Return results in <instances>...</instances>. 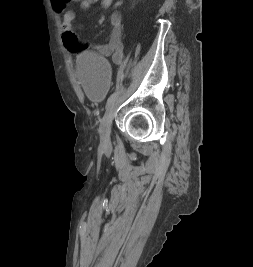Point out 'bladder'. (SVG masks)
<instances>
[{"label":"bladder","instance_id":"obj_1","mask_svg":"<svg viewBox=\"0 0 253 267\" xmlns=\"http://www.w3.org/2000/svg\"><path fill=\"white\" fill-rule=\"evenodd\" d=\"M76 77L86 95L102 100L109 88V67L107 60L95 52H84L76 62Z\"/></svg>","mask_w":253,"mask_h":267}]
</instances>
